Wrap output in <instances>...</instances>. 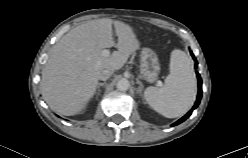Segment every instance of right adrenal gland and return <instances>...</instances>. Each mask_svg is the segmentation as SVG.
Masks as SVG:
<instances>
[{"label":"right adrenal gland","instance_id":"2a0ac1e0","mask_svg":"<svg viewBox=\"0 0 248 158\" xmlns=\"http://www.w3.org/2000/svg\"><path fill=\"white\" fill-rule=\"evenodd\" d=\"M105 84H106L105 81L102 82V83H98V84H97V91H99V88H100L101 86H104Z\"/></svg>","mask_w":248,"mask_h":158}]
</instances>
